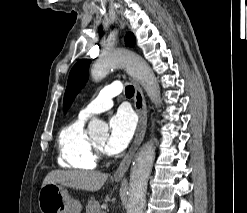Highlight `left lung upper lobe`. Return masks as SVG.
<instances>
[{
    "label": "left lung upper lobe",
    "instance_id": "5c2ea615",
    "mask_svg": "<svg viewBox=\"0 0 247 213\" xmlns=\"http://www.w3.org/2000/svg\"><path fill=\"white\" fill-rule=\"evenodd\" d=\"M126 46L133 47L135 45V37L132 33H127L125 36ZM90 66V60L82 59L78 61L69 74L67 88L64 95V110L66 111L71 103L73 102L75 96L84 87L88 78V69Z\"/></svg>",
    "mask_w": 247,
    "mask_h": 213
}]
</instances>
